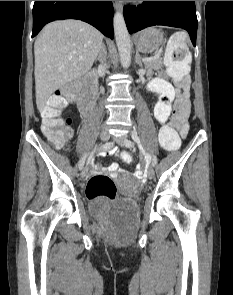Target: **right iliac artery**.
<instances>
[{"label":"right iliac artery","instance_id":"1","mask_svg":"<svg viewBox=\"0 0 233 295\" xmlns=\"http://www.w3.org/2000/svg\"><path fill=\"white\" fill-rule=\"evenodd\" d=\"M111 143H107L105 145H103V147H97V150H108V148L111 146ZM93 153V152H92ZM87 155H85L84 157H82L79 161V169L81 170L84 166L85 160H86Z\"/></svg>","mask_w":233,"mask_h":295}]
</instances>
